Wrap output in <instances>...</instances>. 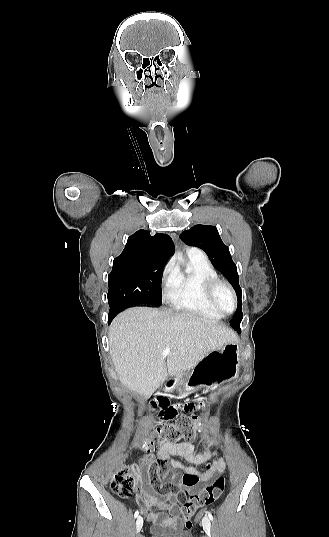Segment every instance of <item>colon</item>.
<instances>
[{
  "label": "colon",
  "mask_w": 329,
  "mask_h": 537,
  "mask_svg": "<svg viewBox=\"0 0 329 537\" xmlns=\"http://www.w3.org/2000/svg\"><path fill=\"white\" fill-rule=\"evenodd\" d=\"M165 403H170L167 398L162 399V404L164 405ZM202 428V422L197 420L196 417L180 419L176 424L164 423L149 436L142 439L140 449L144 452L151 453L164 443H175L181 438L191 441ZM137 484L138 482L134 469L124 465L111 477L108 486L114 493L123 498H128L136 489ZM225 486V478L218 477L211 485L201 490L199 493L193 494L185 505L180 507L184 519V528H192L193 523L190 520L196 511L217 500L224 492Z\"/></svg>",
  "instance_id": "1"
}]
</instances>
